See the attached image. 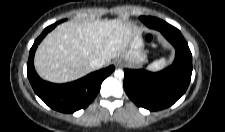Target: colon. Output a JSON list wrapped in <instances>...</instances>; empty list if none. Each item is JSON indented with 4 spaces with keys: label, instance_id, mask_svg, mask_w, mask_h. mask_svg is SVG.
<instances>
[{
    "label": "colon",
    "instance_id": "colon-1",
    "mask_svg": "<svg viewBox=\"0 0 225 132\" xmlns=\"http://www.w3.org/2000/svg\"><path fill=\"white\" fill-rule=\"evenodd\" d=\"M153 40V36L151 34L146 35V41L151 42Z\"/></svg>",
    "mask_w": 225,
    "mask_h": 132
}]
</instances>
